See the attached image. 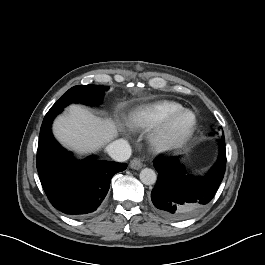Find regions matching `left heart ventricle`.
Segmentation results:
<instances>
[{"label": "left heart ventricle", "instance_id": "b2bd125f", "mask_svg": "<svg viewBox=\"0 0 265 265\" xmlns=\"http://www.w3.org/2000/svg\"><path fill=\"white\" fill-rule=\"evenodd\" d=\"M193 117L191 114H185L181 116L177 121V127L180 131H184L192 124Z\"/></svg>", "mask_w": 265, "mask_h": 265}]
</instances>
